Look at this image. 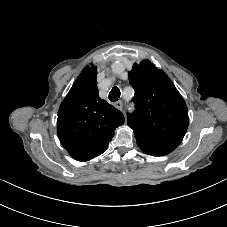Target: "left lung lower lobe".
<instances>
[{
  "instance_id": "1",
  "label": "left lung lower lobe",
  "mask_w": 227,
  "mask_h": 227,
  "mask_svg": "<svg viewBox=\"0 0 227 227\" xmlns=\"http://www.w3.org/2000/svg\"><path fill=\"white\" fill-rule=\"evenodd\" d=\"M133 132L138 146L146 154L163 156L172 152L177 147L176 144L155 135L146 129L133 128Z\"/></svg>"
}]
</instances>
